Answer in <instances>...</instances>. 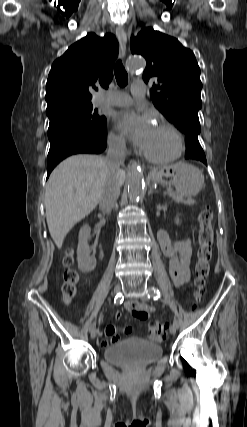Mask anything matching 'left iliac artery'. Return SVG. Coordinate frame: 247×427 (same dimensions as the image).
Returning a JSON list of instances; mask_svg holds the SVG:
<instances>
[{
    "mask_svg": "<svg viewBox=\"0 0 247 427\" xmlns=\"http://www.w3.org/2000/svg\"><path fill=\"white\" fill-rule=\"evenodd\" d=\"M160 296H161V293H160V291L157 288L153 287L148 292V298L153 297L154 299H158V298H160ZM173 324L179 326V322H178V320L176 318H174Z\"/></svg>",
    "mask_w": 247,
    "mask_h": 427,
    "instance_id": "44dca946",
    "label": "left iliac artery"
}]
</instances>
